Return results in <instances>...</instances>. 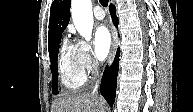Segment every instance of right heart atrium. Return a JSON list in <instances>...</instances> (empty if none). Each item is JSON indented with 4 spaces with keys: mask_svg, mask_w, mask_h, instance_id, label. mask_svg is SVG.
<instances>
[{
    "mask_svg": "<svg viewBox=\"0 0 193 112\" xmlns=\"http://www.w3.org/2000/svg\"><path fill=\"white\" fill-rule=\"evenodd\" d=\"M74 46L83 70L89 74H95L98 71L99 65L93 57L89 43L84 40H77Z\"/></svg>",
    "mask_w": 193,
    "mask_h": 112,
    "instance_id": "obj_1",
    "label": "right heart atrium"
}]
</instances>
